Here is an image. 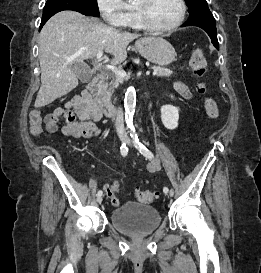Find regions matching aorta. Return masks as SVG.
Listing matches in <instances>:
<instances>
[{"label":"aorta","mask_w":261,"mask_h":273,"mask_svg":"<svg viewBox=\"0 0 261 273\" xmlns=\"http://www.w3.org/2000/svg\"><path fill=\"white\" fill-rule=\"evenodd\" d=\"M132 0H129L131 2ZM136 107V91L134 87L127 88L124 99L125 120L129 128L133 127V116Z\"/></svg>","instance_id":"aorta-1"}]
</instances>
